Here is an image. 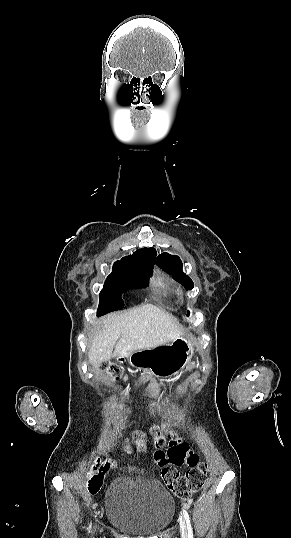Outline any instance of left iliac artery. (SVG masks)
<instances>
[{
  "label": "left iliac artery",
  "instance_id": "obj_1",
  "mask_svg": "<svg viewBox=\"0 0 291 538\" xmlns=\"http://www.w3.org/2000/svg\"><path fill=\"white\" fill-rule=\"evenodd\" d=\"M183 515L187 523V529H188V538H193V530L190 523V518L188 512L183 508Z\"/></svg>",
  "mask_w": 291,
  "mask_h": 538
}]
</instances>
